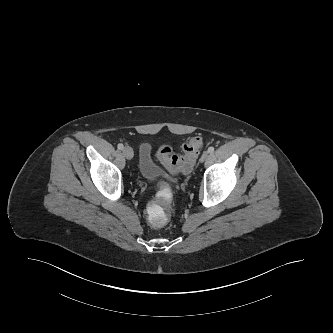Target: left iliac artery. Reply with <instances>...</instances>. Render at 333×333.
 <instances>
[{"instance_id": "obj_1", "label": "left iliac artery", "mask_w": 333, "mask_h": 333, "mask_svg": "<svg viewBox=\"0 0 333 333\" xmlns=\"http://www.w3.org/2000/svg\"><path fill=\"white\" fill-rule=\"evenodd\" d=\"M208 152H209V153H213V152H214V147H209V148H208Z\"/></svg>"}]
</instances>
